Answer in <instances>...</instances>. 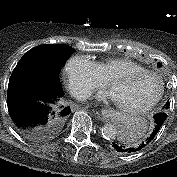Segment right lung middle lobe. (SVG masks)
I'll return each instance as SVG.
<instances>
[{
  "label": "right lung middle lobe",
  "instance_id": "1",
  "mask_svg": "<svg viewBox=\"0 0 177 177\" xmlns=\"http://www.w3.org/2000/svg\"><path fill=\"white\" fill-rule=\"evenodd\" d=\"M73 52L74 49L66 45H39L23 55L12 75L37 71L50 75L59 81L60 69Z\"/></svg>",
  "mask_w": 177,
  "mask_h": 177
}]
</instances>
